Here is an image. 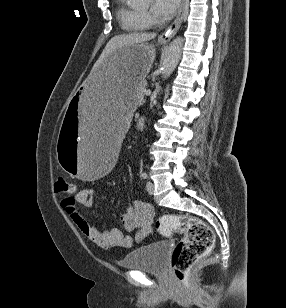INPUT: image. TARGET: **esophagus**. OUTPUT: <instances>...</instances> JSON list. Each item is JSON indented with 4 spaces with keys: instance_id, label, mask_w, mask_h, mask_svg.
Instances as JSON below:
<instances>
[{
    "instance_id": "obj_1",
    "label": "esophagus",
    "mask_w": 286,
    "mask_h": 308,
    "mask_svg": "<svg viewBox=\"0 0 286 308\" xmlns=\"http://www.w3.org/2000/svg\"><path fill=\"white\" fill-rule=\"evenodd\" d=\"M185 1L186 0H180L177 17L174 22L167 28V30L160 36L161 41L167 42L177 33L183 19Z\"/></svg>"
}]
</instances>
